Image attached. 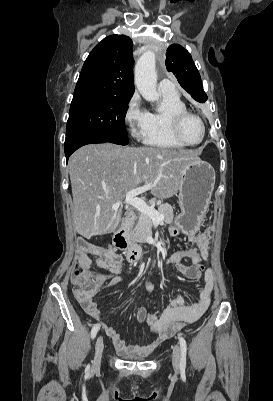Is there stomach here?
I'll return each mask as SVG.
<instances>
[{
  "mask_svg": "<svg viewBox=\"0 0 273 401\" xmlns=\"http://www.w3.org/2000/svg\"><path fill=\"white\" fill-rule=\"evenodd\" d=\"M178 201L180 215L174 225L183 235H196L211 201L215 184V170L205 160H193L180 172Z\"/></svg>",
  "mask_w": 273,
  "mask_h": 401,
  "instance_id": "obj_1",
  "label": "stomach"
}]
</instances>
